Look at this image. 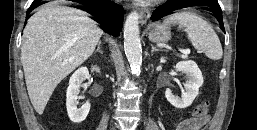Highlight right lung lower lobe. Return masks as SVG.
I'll list each match as a JSON object with an SVG mask.
<instances>
[{
    "mask_svg": "<svg viewBox=\"0 0 257 130\" xmlns=\"http://www.w3.org/2000/svg\"><path fill=\"white\" fill-rule=\"evenodd\" d=\"M42 4L43 2L34 0L28 9V13ZM86 6L87 9L85 11L93 16L92 19L97 21L104 31L114 36L120 34L124 16L122 7L110 0H98Z\"/></svg>",
    "mask_w": 257,
    "mask_h": 130,
    "instance_id": "obj_1",
    "label": "right lung lower lobe"
}]
</instances>
